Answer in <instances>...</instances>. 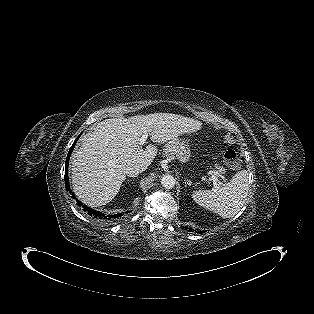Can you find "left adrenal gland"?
Here are the masks:
<instances>
[{"mask_svg":"<svg viewBox=\"0 0 314 314\" xmlns=\"http://www.w3.org/2000/svg\"><path fill=\"white\" fill-rule=\"evenodd\" d=\"M187 185H188V182H187V181H185V187H187Z\"/></svg>","mask_w":314,"mask_h":314,"instance_id":"left-adrenal-gland-1","label":"left adrenal gland"}]
</instances>
